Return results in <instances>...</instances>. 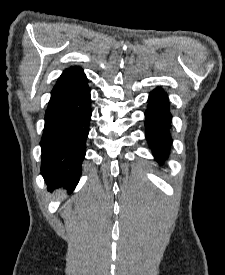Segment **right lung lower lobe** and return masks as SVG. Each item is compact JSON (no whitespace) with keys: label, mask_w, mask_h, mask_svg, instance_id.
Segmentation results:
<instances>
[{"label":"right lung lower lobe","mask_w":225,"mask_h":275,"mask_svg":"<svg viewBox=\"0 0 225 275\" xmlns=\"http://www.w3.org/2000/svg\"><path fill=\"white\" fill-rule=\"evenodd\" d=\"M91 113L87 79L51 91L40 142L41 173L50 188L73 190L77 185L86 153Z\"/></svg>","instance_id":"right-lung-lower-lobe-1"}]
</instances>
